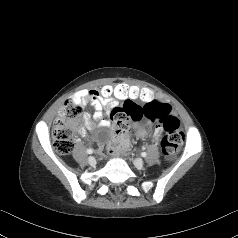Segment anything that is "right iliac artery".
I'll list each match as a JSON object with an SVG mask.
<instances>
[{
	"mask_svg": "<svg viewBox=\"0 0 238 238\" xmlns=\"http://www.w3.org/2000/svg\"><path fill=\"white\" fill-rule=\"evenodd\" d=\"M86 152H87L88 154H92V153H93V150H92V149H88Z\"/></svg>",
	"mask_w": 238,
	"mask_h": 238,
	"instance_id": "right-iliac-artery-1",
	"label": "right iliac artery"
}]
</instances>
